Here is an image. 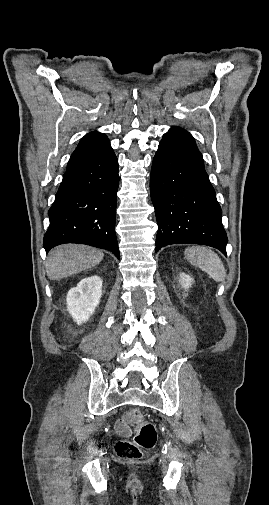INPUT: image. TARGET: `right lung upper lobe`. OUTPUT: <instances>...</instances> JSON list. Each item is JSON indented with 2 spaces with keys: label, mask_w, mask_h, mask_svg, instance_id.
<instances>
[{
  "label": "right lung upper lobe",
  "mask_w": 269,
  "mask_h": 505,
  "mask_svg": "<svg viewBox=\"0 0 269 505\" xmlns=\"http://www.w3.org/2000/svg\"><path fill=\"white\" fill-rule=\"evenodd\" d=\"M108 142H109V140H108L107 136L103 133H99V132L89 133L82 138V140L78 144L77 148L73 152L70 159L91 153V152L99 149L100 147H102L103 145H105Z\"/></svg>",
  "instance_id": "1"
}]
</instances>
